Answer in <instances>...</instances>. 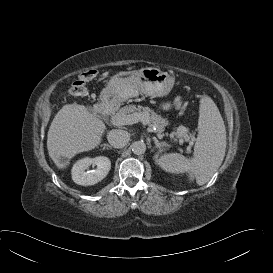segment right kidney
Wrapping results in <instances>:
<instances>
[{
  "label": "right kidney",
  "mask_w": 273,
  "mask_h": 273,
  "mask_svg": "<svg viewBox=\"0 0 273 273\" xmlns=\"http://www.w3.org/2000/svg\"><path fill=\"white\" fill-rule=\"evenodd\" d=\"M93 165L97 166L94 170H88ZM111 169V161L105 156L95 158H83L78 160L72 167V179L76 184L89 186L103 180ZM87 170V171H86Z\"/></svg>",
  "instance_id": "right-kidney-1"
}]
</instances>
